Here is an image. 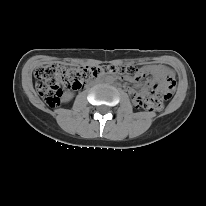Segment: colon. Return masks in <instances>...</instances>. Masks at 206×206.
<instances>
[{
  "label": "colon",
  "mask_w": 206,
  "mask_h": 206,
  "mask_svg": "<svg viewBox=\"0 0 206 206\" xmlns=\"http://www.w3.org/2000/svg\"><path fill=\"white\" fill-rule=\"evenodd\" d=\"M107 71L131 78L140 76L139 70L134 67H110ZM100 72V69L91 67L67 68L56 63L45 65L36 72V89L44 101L54 107L59 103L63 88L79 89ZM174 87V79L168 77L161 85L152 87L148 96L134 97V102L138 107L160 110L163 101L170 98Z\"/></svg>",
  "instance_id": "5ec220e1"
}]
</instances>
